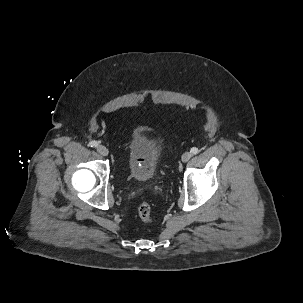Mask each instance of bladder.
Segmentation results:
<instances>
[{"mask_svg":"<svg viewBox=\"0 0 303 303\" xmlns=\"http://www.w3.org/2000/svg\"><path fill=\"white\" fill-rule=\"evenodd\" d=\"M165 148L163 139L149 135L143 128L135 129L127 145L129 176L138 182L152 179L164 156Z\"/></svg>","mask_w":303,"mask_h":303,"instance_id":"1","label":"bladder"}]
</instances>
